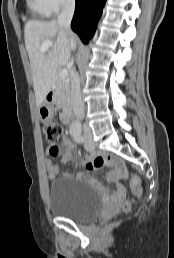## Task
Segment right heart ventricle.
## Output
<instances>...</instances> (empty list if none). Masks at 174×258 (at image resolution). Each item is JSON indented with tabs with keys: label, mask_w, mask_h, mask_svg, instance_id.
Listing matches in <instances>:
<instances>
[{
	"label": "right heart ventricle",
	"mask_w": 174,
	"mask_h": 258,
	"mask_svg": "<svg viewBox=\"0 0 174 258\" xmlns=\"http://www.w3.org/2000/svg\"><path fill=\"white\" fill-rule=\"evenodd\" d=\"M26 1H27V6L29 10L33 14L39 17H47L51 14L44 0H26Z\"/></svg>",
	"instance_id": "right-heart-ventricle-1"
}]
</instances>
